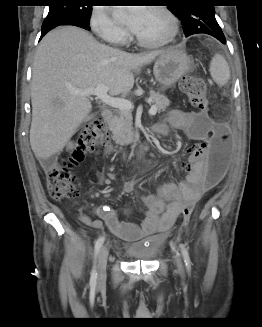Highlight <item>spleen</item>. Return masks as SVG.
Masks as SVG:
<instances>
[{"mask_svg": "<svg viewBox=\"0 0 262 327\" xmlns=\"http://www.w3.org/2000/svg\"><path fill=\"white\" fill-rule=\"evenodd\" d=\"M209 71L212 79L219 86L225 85L230 79V68L225 58L220 54H216L212 58Z\"/></svg>", "mask_w": 262, "mask_h": 327, "instance_id": "3e777b00", "label": "spleen"}]
</instances>
